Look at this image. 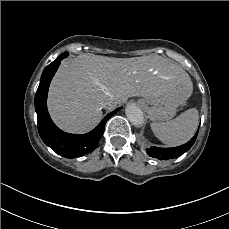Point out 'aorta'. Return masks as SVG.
<instances>
[{
	"label": "aorta",
	"mask_w": 229,
	"mask_h": 229,
	"mask_svg": "<svg viewBox=\"0 0 229 229\" xmlns=\"http://www.w3.org/2000/svg\"><path fill=\"white\" fill-rule=\"evenodd\" d=\"M125 113L133 125L139 127L144 123L143 112L136 105H128L126 107Z\"/></svg>",
	"instance_id": "obj_1"
}]
</instances>
